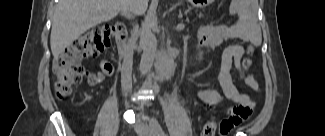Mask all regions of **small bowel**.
<instances>
[{
	"label": "small bowel",
	"mask_w": 325,
	"mask_h": 136,
	"mask_svg": "<svg viewBox=\"0 0 325 136\" xmlns=\"http://www.w3.org/2000/svg\"><path fill=\"white\" fill-rule=\"evenodd\" d=\"M200 44L204 47H215L229 40L250 42L257 39L255 29L241 16L237 22L230 26L204 27L196 34ZM244 50L241 45L233 44L225 48L222 54L221 69L219 73V89L201 91L199 96L209 105H219L224 98L233 101L236 106L228 110L227 117L220 125L221 134L229 133L234 127L246 121L252 114L253 102L250 97L241 93L233 84L231 77L232 66L240 69ZM115 68L107 60L100 62V70L87 75V83L96 86L107 77L113 75ZM246 84L254 91H259V85L251 74L245 75Z\"/></svg>",
	"instance_id": "1"
}]
</instances>
